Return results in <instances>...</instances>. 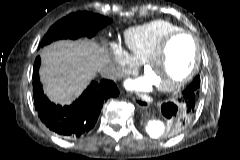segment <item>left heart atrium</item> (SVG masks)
I'll return each instance as SVG.
<instances>
[{
	"instance_id": "obj_1",
	"label": "left heart atrium",
	"mask_w": 240,
	"mask_h": 160,
	"mask_svg": "<svg viewBox=\"0 0 240 160\" xmlns=\"http://www.w3.org/2000/svg\"><path fill=\"white\" fill-rule=\"evenodd\" d=\"M153 85V82L147 76H143L136 80H129L126 82L127 88L137 91L150 90Z\"/></svg>"
}]
</instances>
